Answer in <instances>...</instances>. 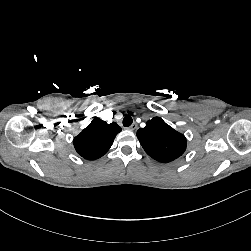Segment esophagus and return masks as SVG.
<instances>
[{
    "label": "esophagus",
    "instance_id": "esophagus-1",
    "mask_svg": "<svg viewBox=\"0 0 251 251\" xmlns=\"http://www.w3.org/2000/svg\"><path fill=\"white\" fill-rule=\"evenodd\" d=\"M136 128H137V124L133 123L130 127H128V130L134 131V130H136Z\"/></svg>",
    "mask_w": 251,
    "mask_h": 251
}]
</instances>
